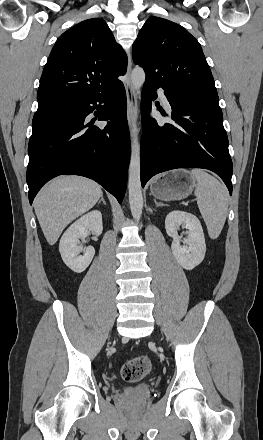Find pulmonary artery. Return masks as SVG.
I'll return each instance as SVG.
<instances>
[{
  "instance_id": "1",
  "label": "pulmonary artery",
  "mask_w": 263,
  "mask_h": 440,
  "mask_svg": "<svg viewBox=\"0 0 263 440\" xmlns=\"http://www.w3.org/2000/svg\"><path fill=\"white\" fill-rule=\"evenodd\" d=\"M158 95H159L161 101L163 102V104L165 105L166 109L169 110V111H171V105H170V103H169V101H168V99H167V96H166V94L164 93V91L161 90V89H159V90H158Z\"/></svg>"
}]
</instances>
